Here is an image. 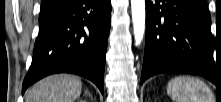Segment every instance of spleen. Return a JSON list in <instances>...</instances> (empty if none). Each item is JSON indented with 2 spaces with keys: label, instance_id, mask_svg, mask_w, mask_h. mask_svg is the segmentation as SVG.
I'll return each mask as SVG.
<instances>
[{
  "label": "spleen",
  "instance_id": "1",
  "mask_svg": "<svg viewBox=\"0 0 221 102\" xmlns=\"http://www.w3.org/2000/svg\"><path fill=\"white\" fill-rule=\"evenodd\" d=\"M167 94L175 102H212L210 88L200 79L178 76L167 85Z\"/></svg>",
  "mask_w": 221,
  "mask_h": 102
}]
</instances>
